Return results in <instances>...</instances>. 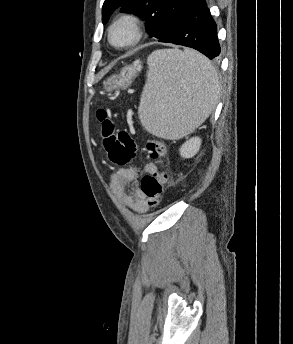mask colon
Masks as SVG:
<instances>
[{
	"instance_id": "colon-1",
	"label": "colon",
	"mask_w": 293,
	"mask_h": 344,
	"mask_svg": "<svg viewBox=\"0 0 293 344\" xmlns=\"http://www.w3.org/2000/svg\"><path fill=\"white\" fill-rule=\"evenodd\" d=\"M96 114L101 125L103 147L109 161L116 166L127 165L135 156L136 142L127 131L118 130L107 110L100 108ZM146 152L150 158L159 160L165 156L167 149L162 141L150 139L146 143ZM168 179V172L163 169L148 173L142 178L140 189L149 208L159 205Z\"/></svg>"
}]
</instances>
